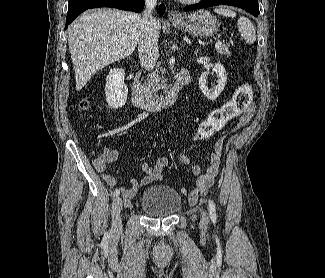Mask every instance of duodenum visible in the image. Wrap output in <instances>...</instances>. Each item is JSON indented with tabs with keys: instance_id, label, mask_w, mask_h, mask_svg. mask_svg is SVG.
Segmentation results:
<instances>
[{
	"instance_id": "duodenum-1",
	"label": "duodenum",
	"mask_w": 325,
	"mask_h": 278,
	"mask_svg": "<svg viewBox=\"0 0 325 278\" xmlns=\"http://www.w3.org/2000/svg\"><path fill=\"white\" fill-rule=\"evenodd\" d=\"M190 72L187 69L181 70L174 83L166 93V95L161 99H153L150 96L143 93V91L140 88L138 79L135 78L132 81L131 88H130V94L132 102L139 108L151 111V112H158L162 109H165L172 104L177 99L178 93L180 89L190 82Z\"/></svg>"
}]
</instances>
